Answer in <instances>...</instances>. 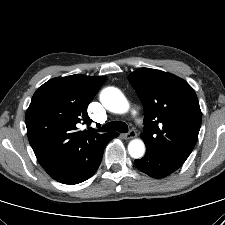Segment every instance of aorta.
<instances>
[{
    "mask_svg": "<svg viewBox=\"0 0 225 225\" xmlns=\"http://www.w3.org/2000/svg\"><path fill=\"white\" fill-rule=\"evenodd\" d=\"M102 105L109 111L117 114L126 113L129 103L123 93L115 87H107L100 93ZM128 152L132 158L139 159L145 153V144L141 139L131 140L128 144Z\"/></svg>",
    "mask_w": 225,
    "mask_h": 225,
    "instance_id": "762f6f07",
    "label": "aorta"
}]
</instances>
